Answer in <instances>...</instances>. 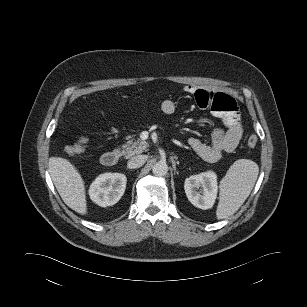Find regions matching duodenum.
Wrapping results in <instances>:
<instances>
[{
    "instance_id": "duodenum-1",
    "label": "duodenum",
    "mask_w": 307,
    "mask_h": 307,
    "mask_svg": "<svg viewBox=\"0 0 307 307\" xmlns=\"http://www.w3.org/2000/svg\"><path fill=\"white\" fill-rule=\"evenodd\" d=\"M119 160V152L115 150L104 152L101 156V163L105 167H112Z\"/></svg>"
}]
</instances>
